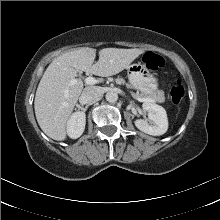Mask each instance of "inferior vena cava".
<instances>
[{"label": "inferior vena cava", "mask_w": 220, "mask_h": 220, "mask_svg": "<svg viewBox=\"0 0 220 220\" xmlns=\"http://www.w3.org/2000/svg\"><path fill=\"white\" fill-rule=\"evenodd\" d=\"M102 95V89L97 86H88L85 87L82 93V99L86 103H90L98 100Z\"/></svg>", "instance_id": "1"}]
</instances>
